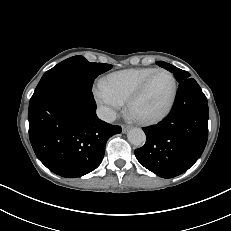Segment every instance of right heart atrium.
I'll list each match as a JSON object with an SVG mask.
<instances>
[{
    "label": "right heart atrium",
    "instance_id": "d8ad5b80",
    "mask_svg": "<svg viewBox=\"0 0 231 231\" xmlns=\"http://www.w3.org/2000/svg\"><path fill=\"white\" fill-rule=\"evenodd\" d=\"M94 96L107 118H111L122 105L119 100L104 92L100 86L95 89Z\"/></svg>",
    "mask_w": 231,
    "mask_h": 231
}]
</instances>
